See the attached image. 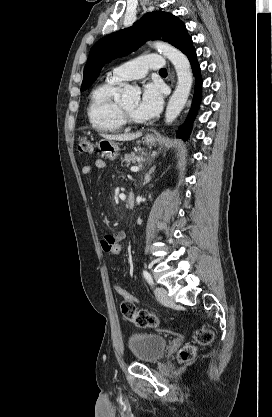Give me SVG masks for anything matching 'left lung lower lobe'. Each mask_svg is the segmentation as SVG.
<instances>
[{
	"mask_svg": "<svg viewBox=\"0 0 272 417\" xmlns=\"http://www.w3.org/2000/svg\"><path fill=\"white\" fill-rule=\"evenodd\" d=\"M186 56L188 57V59L191 63L192 70H193V72L195 74V77H196L197 86L195 88L194 100H193L192 108L189 112V115H188L185 123L182 125L181 129L177 132L179 134L178 137H181L184 140H187V138L189 137L192 122H193L194 117L196 115L197 108L199 106V102H200V99H201V94H200V86H201L200 66L197 62V55H196L195 48H192L186 54Z\"/></svg>",
	"mask_w": 272,
	"mask_h": 417,
	"instance_id": "left-lung-lower-lobe-1",
	"label": "left lung lower lobe"
}]
</instances>
